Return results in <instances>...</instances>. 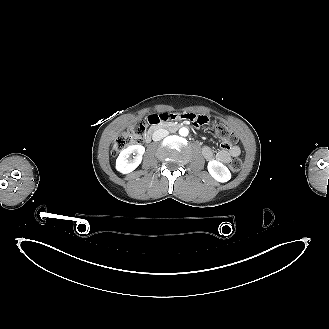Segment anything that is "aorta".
I'll use <instances>...</instances> for the list:
<instances>
[{
    "mask_svg": "<svg viewBox=\"0 0 329 329\" xmlns=\"http://www.w3.org/2000/svg\"><path fill=\"white\" fill-rule=\"evenodd\" d=\"M189 134V130L186 127H182L179 129V135L181 136H187Z\"/></svg>",
    "mask_w": 329,
    "mask_h": 329,
    "instance_id": "obj_1",
    "label": "aorta"
}]
</instances>
